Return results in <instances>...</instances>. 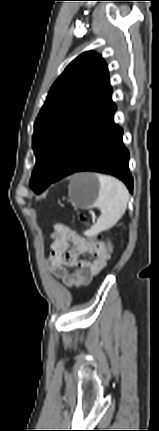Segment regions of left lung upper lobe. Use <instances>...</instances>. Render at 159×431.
Segmentation results:
<instances>
[{
  "label": "left lung upper lobe",
  "mask_w": 159,
  "mask_h": 431,
  "mask_svg": "<svg viewBox=\"0 0 159 431\" xmlns=\"http://www.w3.org/2000/svg\"><path fill=\"white\" fill-rule=\"evenodd\" d=\"M111 95L107 65L93 51L80 54L55 81L34 124L35 192L50 185L77 133L109 108Z\"/></svg>",
  "instance_id": "obj_1"
}]
</instances>
